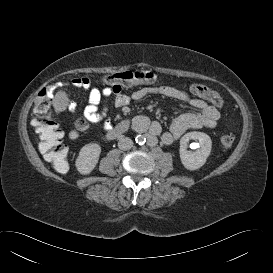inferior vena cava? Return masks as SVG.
Segmentation results:
<instances>
[{"instance_id": "inferior-vena-cava-1", "label": "inferior vena cava", "mask_w": 273, "mask_h": 273, "mask_svg": "<svg viewBox=\"0 0 273 273\" xmlns=\"http://www.w3.org/2000/svg\"><path fill=\"white\" fill-rule=\"evenodd\" d=\"M133 146V141L129 137H121L118 142V147L121 150H129Z\"/></svg>"}]
</instances>
